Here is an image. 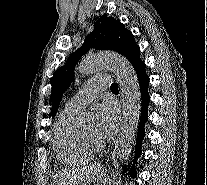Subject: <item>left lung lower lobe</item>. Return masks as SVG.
Instances as JSON below:
<instances>
[{
	"instance_id": "obj_1",
	"label": "left lung lower lobe",
	"mask_w": 207,
	"mask_h": 185,
	"mask_svg": "<svg viewBox=\"0 0 207 185\" xmlns=\"http://www.w3.org/2000/svg\"><path fill=\"white\" fill-rule=\"evenodd\" d=\"M135 71L138 77L139 86L141 90L142 108H141V117L139 122L138 133H137L134 162L129 171V174H131L132 176H136L135 163L137 158L141 155V144L145 136L144 125L148 119L147 107L150 102V97L148 94L149 78L146 74L145 64L140 65L138 68L135 69Z\"/></svg>"
}]
</instances>
